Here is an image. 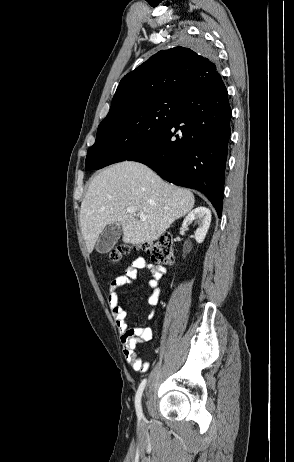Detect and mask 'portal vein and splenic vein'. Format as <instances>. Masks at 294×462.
Instances as JSON below:
<instances>
[{
    "label": "portal vein and splenic vein",
    "mask_w": 294,
    "mask_h": 462,
    "mask_svg": "<svg viewBox=\"0 0 294 462\" xmlns=\"http://www.w3.org/2000/svg\"><path fill=\"white\" fill-rule=\"evenodd\" d=\"M127 212L130 213V214H134V215L136 214V210L134 208H127ZM138 216L142 220H145L147 218V216L145 214H143V213H140Z\"/></svg>",
    "instance_id": "obj_1"
}]
</instances>
